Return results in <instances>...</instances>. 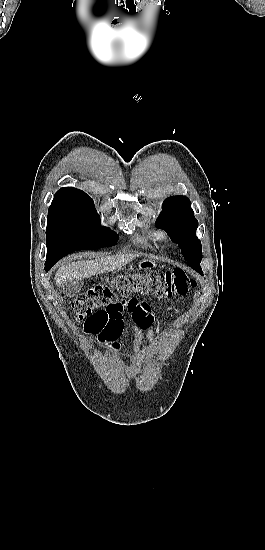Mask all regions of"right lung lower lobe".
<instances>
[{
	"instance_id": "right-lung-lower-lobe-1",
	"label": "right lung lower lobe",
	"mask_w": 265,
	"mask_h": 550,
	"mask_svg": "<svg viewBox=\"0 0 265 550\" xmlns=\"http://www.w3.org/2000/svg\"><path fill=\"white\" fill-rule=\"evenodd\" d=\"M52 266H53V264H47V263H45V270H46V271L50 270Z\"/></svg>"
}]
</instances>
